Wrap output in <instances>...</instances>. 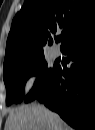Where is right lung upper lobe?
I'll return each instance as SVG.
<instances>
[{"label":"right lung upper lobe","instance_id":"cb5924a9","mask_svg":"<svg viewBox=\"0 0 95 130\" xmlns=\"http://www.w3.org/2000/svg\"><path fill=\"white\" fill-rule=\"evenodd\" d=\"M61 50L95 31L94 0H28L16 14L6 45L3 71L44 58L60 31Z\"/></svg>","mask_w":95,"mask_h":130}]
</instances>
